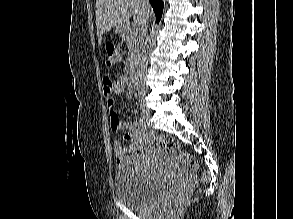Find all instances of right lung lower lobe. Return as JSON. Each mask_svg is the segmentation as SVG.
Listing matches in <instances>:
<instances>
[{
    "instance_id": "98d812e1",
    "label": "right lung lower lobe",
    "mask_w": 293,
    "mask_h": 219,
    "mask_svg": "<svg viewBox=\"0 0 293 219\" xmlns=\"http://www.w3.org/2000/svg\"><path fill=\"white\" fill-rule=\"evenodd\" d=\"M151 3L153 10L156 15V21L159 22L162 16V11H163V2L162 0H149Z\"/></svg>"
}]
</instances>
